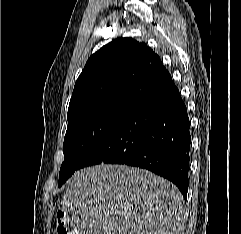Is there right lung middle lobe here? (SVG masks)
Returning <instances> with one entry per match:
<instances>
[{"label":"right lung middle lobe","instance_id":"1","mask_svg":"<svg viewBox=\"0 0 241 234\" xmlns=\"http://www.w3.org/2000/svg\"><path fill=\"white\" fill-rule=\"evenodd\" d=\"M126 101H108L77 109L67 114L68 126L64 137V162L59 173L58 186L80 169L89 151L110 132L133 108Z\"/></svg>","mask_w":241,"mask_h":234}]
</instances>
